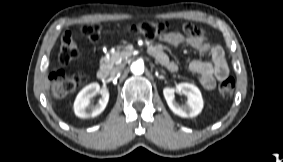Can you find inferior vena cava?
<instances>
[{"label":"inferior vena cava","instance_id":"inferior-vena-cava-1","mask_svg":"<svg viewBox=\"0 0 283 162\" xmlns=\"http://www.w3.org/2000/svg\"><path fill=\"white\" fill-rule=\"evenodd\" d=\"M119 70H120L119 68L113 69V70L111 71V76H115V75L118 73Z\"/></svg>","mask_w":283,"mask_h":162}]
</instances>
